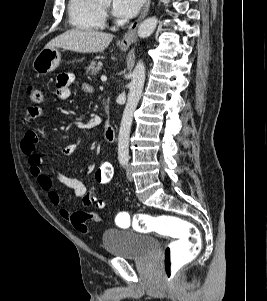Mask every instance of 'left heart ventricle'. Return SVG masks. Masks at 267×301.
Here are the masks:
<instances>
[{"instance_id": "b2bd125f", "label": "left heart ventricle", "mask_w": 267, "mask_h": 301, "mask_svg": "<svg viewBox=\"0 0 267 301\" xmlns=\"http://www.w3.org/2000/svg\"><path fill=\"white\" fill-rule=\"evenodd\" d=\"M100 4L107 8L110 5V0H101Z\"/></svg>"}]
</instances>
